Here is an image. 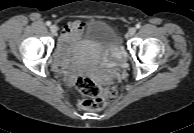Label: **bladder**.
<instances>
[{
	"label": "bladder",
	"instance_id": "1",
	"mask_svg": "<svg viewBox=\"0 0 194 133\" xmlns=\"http://www.w3.org/2000/svg\"><path fill=\"white\" fill-rule=\"evenodd\" d=\"M77 43L96 48L102 57L113 60L120 54V44L115 30L106 22L91 21L76 39Z\"/></svg>",
	"mask_w": 194,
	"mask_h": 133
}]
</instances>
